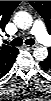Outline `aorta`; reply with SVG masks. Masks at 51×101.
<instances>
[{
    "label": "aorta",
    "mask_w": 51,
    "mask_h": 101,
    "mask_svg": "<svg viewBox=\"0 0 51 101\" xmlns=\"http://www.w3.org/2000/svg\"><path fill=\"white\" fill-rule=\"evenodd\" d=\"M14 23L19 29L26 30L33 24L32 16L27 12H17L14 16ZM48 55V51L44 46H38L33 51V56L37 60H44Z\"/></svg>",
    "instance_id": "1"
}]
</instances>
